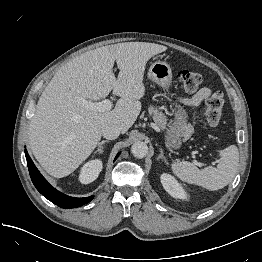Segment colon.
<instances>
[{
  "mask_svg": "<svg viewBox=\"0 0 262 262\" xmlns=\"http://www.w3.org/2000/svg\"><path fill=\"white\" fill-rule=\"evenodd\" d=\"M178 78L182 87L189 92L198 90L203 84V77L200 73L188 69L178 72ZM224 95L220 91L212 93L205 101V118L209 125L219 124L224 107Z\"/></svg>",
  "mask_w": 262,
  "mask_h": 262,
  "instance_id": "1",
  "label": "colon"
}]
</instances>
